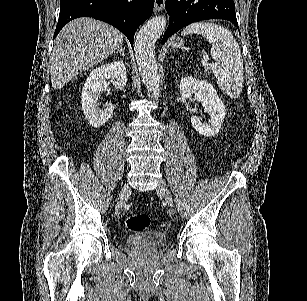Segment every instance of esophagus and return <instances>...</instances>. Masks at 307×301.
Masks as SVG:
<instances>
[{"label":"esophagus","instance_id":"esophagus-1","mask_svg":"<svg viewBox=\"0 0 307 301\" xmlns=\"http://www.w3.org/2000/svg\"><path fill=\"white\" fill-rule=\"evenodd\" d=\"M165 6V0H155V12H160Z\"/></svg>","mask_w":307,"mask_h":301}]
</instances>
